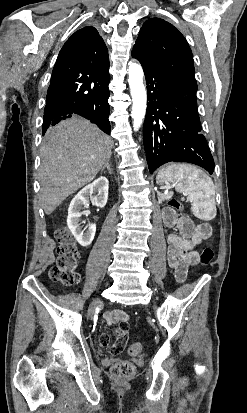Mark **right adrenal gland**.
I'll return each instance as SVG.
<instances>
[{
    "instance_id": "2a0ac1e0",
    "label": "right adrenal gland",
    "mask_w": 247,
    "mask_h": 413,
    "mask_svg": "<svg viewBox=\"0 0 247 413\" xmlns=\"http://www.w3.org/2000/svg\"><path fill=\"white\" fill-rule=\"evenodd\" d=\"M104 168H107L108 172H110V174H112V168L110 166V158H109V160H106L104 166H101V172H103Z\"/></svg>"
}]
</instances>
